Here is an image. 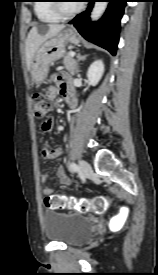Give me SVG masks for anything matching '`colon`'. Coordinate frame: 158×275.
Listing matches in <instances>:
<instances>
[{
	"instance_id": "1",
	"label": "colon",
	"mask_w": 158,
	"mask_h": 275,
	"mask_svg": "<svg viewBox=\"0 0 158 275\" xmlns=\"http://www.w3.org/2000/svg\"><path fill=\"white\" fill-rule=\"evenodd\" d=\"M34 105V114L36 118H43L49 112L52 106V100L48 95L43 93H34L32 96ZM46 208L51 210L61 209H75L81 213L93 212L102 214L106 211L109 199L105 196H98L95 198H75L63 195H49L44 199Z\"/></svg>"
}]
</instances>
